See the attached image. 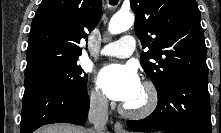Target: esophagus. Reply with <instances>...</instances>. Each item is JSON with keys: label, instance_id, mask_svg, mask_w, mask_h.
I'll return each instance as SVG.
<instances>
[{"label": "esophagus", "instance_id": "obj_1", "mask_svg": "<svg viewBox=\"0 0 221 133\" xmlns=\"http://www.w3.org/2000/svg\"><path fill=\"white\" fill-rule=\"evenodd\" d=\"M115 133H127L121 122L117 121L114 125Z\"/></svg>", "mask_w": 221, "mask_h": 133}]
</instances>
